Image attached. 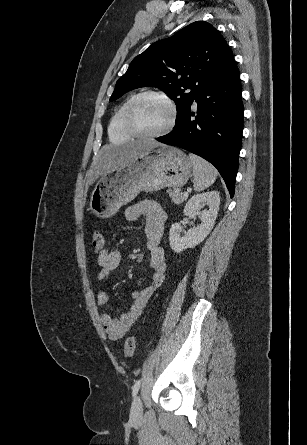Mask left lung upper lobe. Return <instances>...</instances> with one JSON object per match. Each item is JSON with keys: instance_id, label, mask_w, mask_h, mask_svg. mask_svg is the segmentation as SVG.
<instances>
[{"instance_id": "left-lung-upper-lobe-1", "label": "left lung upper lobe", "mask_w": 307, "mask_h": 445, "mask_svg": "<svg viewBox=\"0 0 307 445\" xmlns=\"http://www.w3.org/2000/svg\"><path fill=\"white\" fill-rule=\"evenodd\" d=\"M232 58L225 39L211 24L193 22L135 57L117 81L110 101L135 88H160L175 101L177 124L197 95L223 72ZM186 89L191 91L184 93Z\"/></svg>"}]
</instances>
